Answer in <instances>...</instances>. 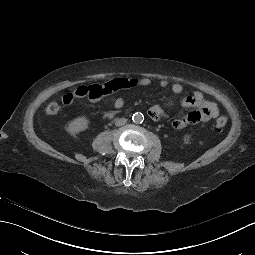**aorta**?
Here are the masks:
<instances>
[{
    "label": "aorta",
    "mask_w": 255,
    "mask_h": 255,
    "mask_svg": "<svg viewBox=\"0 0 255 255\" xmlns=\"http://www.w3.org/2000/svg\"><path fill=\"white\" fill-rule=\"evenodd\" d=\"M132 120L135 124H141L144 121V115L141 112H136L133 114Z\"/></svg>",
    "instance_id": "762f6f07"
}]
</instances>
